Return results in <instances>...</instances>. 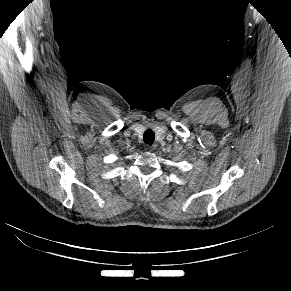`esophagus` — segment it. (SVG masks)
<instances>
[{
	"instance_id": "obj_1",
	"label": "esophagus",
	"mask_w": 291,
	"mask_h": 291,
	"mask_svg": "<svg viewBox=\"0 0 291 291\" xmlns=\"http://www.w3.org/2000/svg\"><path fill=\"white\" fill-rule=\"evenodd\" d=\"M155 149V146H147L146 150L147 151H153Z\"/></svg>"
}]
</instances>
